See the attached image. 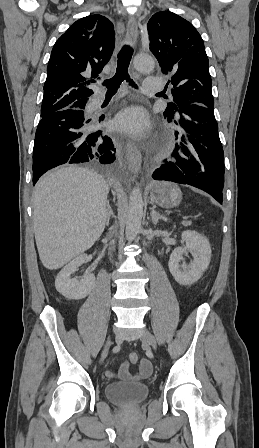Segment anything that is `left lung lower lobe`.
Listing matches in <instances>:
<instances>
[{
    "mask_svg": "<svg viewBox=\"0 0 259 448\" xmlns=\"http://www.w3.org/2000/svg\"><path fill=\"white\" fill-rule=\"evenodd\" d=\"M165 117H167L164 114ZM184 133L178 137L172 162H165L153 173L155 180L172 181L197 187L222 202L224 153L218 135L214 108L192 104L168 117Z\"/></svg>",
    "mask_w": 259,
    "mask_h": 448,
    "instance_id": "0a47b994",
    "label": "left lung lower lobe"
}]
</instances>
